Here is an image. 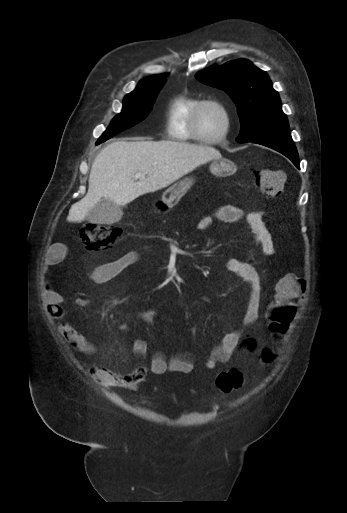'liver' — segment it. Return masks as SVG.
<instances>
[{
	"mask_svg": "<svg viewBox=\"0 0 347 513\" xmlns=\"http://www.w3.org/2000/svg\"><path fill=\"white\" fill-rule=\"evenodd\" d=\"M221 154L215 148L175 141H116L97 155L86 196L73 204L68 222H82L101 198L123 206L139 196L171 185L197 166ZM136 173L145 174L136 181Z\"/></svg>",
	"mask_w": 347,
	"mask_h": 513,
	"instance_id": "obj_1",
	"label": "liver"
}]
</instances>
